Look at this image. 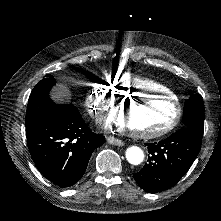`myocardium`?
I'll return each mask as SVG.
<instances>
[{"instance_id": "myocardium-1", "label": "myocardium", "mask_w": 221, "mask_h": 221, "mask_svg": "<svg viewBox=\"0 0 221 221\" xmlns=\"http://www.w3.org/2000/svg\"><path fill=\"white\" fill-rule=\"evenodd\" d=\"M151 99L154 101H167L171 104V113L170 115H168L167 119L164 120V122L155 123L153 125L151 124L145 127L143 131H140L139 129L132 130L120 128V125L116 122V119L114 117L117 111L120 110V108H125L127 105H131L134 102L141 103L143 101H149ZM179 114V106L175 97L155 90L150 92L144 91L142 93L129 96L128 98L119 101L118 104H114L113 106H111L110 110L108 111V123L111 125L113 131L120 136L133 135L134 137L139 136L140 138H157L162 137L163 134L167 132H170L171 127L176 124V119L179 118Z\"/></svg>"}]
</instances>
